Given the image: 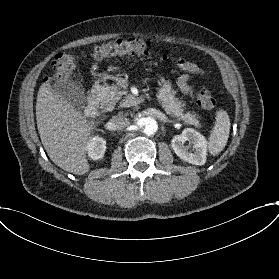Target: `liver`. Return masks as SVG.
Returning <instances> with one entry per match:
<instances>
[{
  "label": "liver",
  "mask_w": 279,
  "mask_h": 279,
  "mask_svg": "<svg viewBox=\"0 0 279 279\" xmlns=\"http://www.w3.org/2000/svg\"><path fill=\"white\" fill-rule=\"evenodd\" d=\"M36 121L49 158L61 169L83 175L89 171L86 143L96 125L43 83L37 94Z\"/></svg>",
  "instance_id": "obj_1"
}]
</instances>
